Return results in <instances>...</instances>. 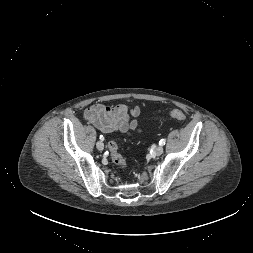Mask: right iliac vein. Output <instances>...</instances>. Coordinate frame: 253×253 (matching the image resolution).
<instances>
[{"label": "right iliac vein", "mask_w": 253, "mask_h": 253, "mask_svg": "<svg viewBox=\"0 0 253 253\" xmlns=\"http://www.w3.org/2000/svg\"><path fill=\"white\" fill-rule=\"evenodd\" d=\"M96 147H97L98 150L102 151V150L104 149V144H103V142H102V141H98V142L96 143Z\"/></svg>", "instance_id": "1"}]
</instances>
